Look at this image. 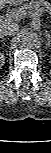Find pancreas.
<instances>
[{
    "label": "pancreas",
    "instance_id": "cf45deb5",
    "mask_svg": "<svg viewBox=\"0 0 51 153\" xmlns=\"http://www.w3.org/2000/svg\"><path fill=\"white\" fill-rule=\"evenodd\" d=\"M51 8V4L46 0H31L30 2L24 4L23 6L14 9V11H25L27 14L31 10H43V11H49Z\"/></svg>",
    "mask_w": 51,
    "mask_h": 153
}]
</instances>
